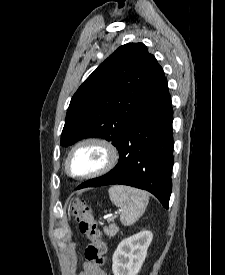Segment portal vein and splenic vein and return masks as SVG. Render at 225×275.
I'll use <instances>...</instances> for the list:
<instances>
[{
    "label": "portal vein and splenic vein",
    "mask_w": 225,
    "mask_h": 275,
    "mask_svg": "<svg viewBox=\"0 0 225 275\" xmlns=\"http://www.w3.org/2000/svg\"><path fill=\"white\" fill-rule=\"evenodd\" d=\"M115 217H116V216L112 217V219H114ZM112 219H111V220H112Z\"/></svg>",
    "instance_id": "obj_1"
}]
</instances>
